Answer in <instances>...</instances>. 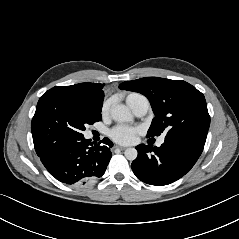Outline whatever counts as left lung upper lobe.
Returning <instances> with one entry per match:
<instances>
[{
    "instance_id": "left-lung-upper-lobe-1",
    "label": "left lung upper lobe",
    "mask_w": 239,
    "mask_h": 239,
    "mask_svg": "<svg viewBox=\"0 0 239 239\" xmlns=\"http://www.w3.org/2000/svg\"><path fill=\"white\" fill-rule=\"evenodd\" d=\"M120 89L135 91L148 98L155 114L147 137L166 133L205 144L210 116L204 95L182 80L146 77L126 81Z\"/></svg>"
}]
</instances>
